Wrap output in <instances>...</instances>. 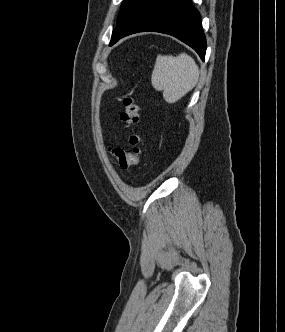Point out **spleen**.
Here are the masks:
<instances>
[{
	"label": "spleen",
	"mask_w": 285,
	"mask_h": 332,
	"mask_svg": "<svg viewBox=\"0 0 285 332\" xmlns=\"http://www.w3.org/2000/svg\"><path fill=\"white\" fill-rule=\"evenodd\" d=\"M199 79V68L186 53L178 56L158 55L151 81L157 91H163L167 103H175L191 91Z\"/></svg>",
	"instance_id": "spleen-1"
}]
</instances>
